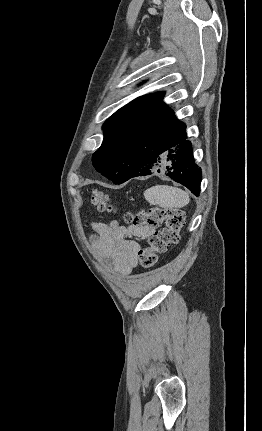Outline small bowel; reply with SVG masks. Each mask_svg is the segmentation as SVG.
I'll use <instances>...</instances> for the list:
<instances>
[{
    "label": "small bowel",
    "mask_w": 262,
    "mask_h": 431,
    "mask_svg": "<svg viewBox=\"0 0 262 431\" xmlns=\"http://www.w3.org/2000/svg\"><path fill=\"white\" fill-rule=\"evenodd\" d=\"M95 232L92 245L99 262L114 267L121 275H129L137 266L140 243L148 239L154 230L147 226H121L93 222Z\"/></svg>",
    "instance_id": "1"
}]
</instances>
